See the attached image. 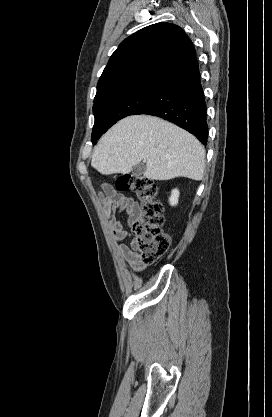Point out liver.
<instances>
[{"label":"liver","instance_id":"liver-1","mask_svg":"<svg viewBox=\"0 0 272 417\" xmlns=\"http://www.w3.org/2000/svg\"><path fill=\"white\" fill-rule=\"evenodd\" d=\"M205 149L190 133L163 119L133 115L111 127L96 146L91 165L102 175L125 174L146 162L151 180L204 176Z\"/></svg>","mask_w":272,"mask_h":417}]
</instances>
